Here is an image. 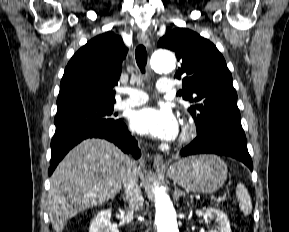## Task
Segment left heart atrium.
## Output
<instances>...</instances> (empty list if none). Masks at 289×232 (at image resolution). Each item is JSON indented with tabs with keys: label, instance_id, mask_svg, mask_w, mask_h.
I'll list each match as a JSON object with an SVG mask.
<instances>
[{
	"label": "left heart atrium",
	"instance_id": "39dd6f15",
	"mask_svg": "<svg viewBox=\"0 0 289 232\" xmlns=\"http://www.w3.org/2000/svg\"><path fill=\"white\" fill-rule=\"evenodd\" d=\"M131 127L140 134L161 140H172L178 134V123L166 107L146 106L133 112Z\"/></svg>",
	"mask_w": 289,
	"mask_h": 232
}]
</instances>
